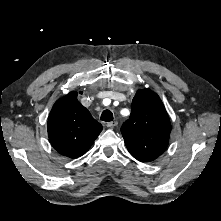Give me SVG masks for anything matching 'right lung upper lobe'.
Segmentation results:
<instances>
[{"mask_svg":"<svg viewBox=\"0 0 221 221\" xmlns=\"http://www.w3.org/2000/svg\"><path fill=\"white\" fill-rule=\"evenodd\" d=\"M77 95L72 91L56 101L47 123L52 146L70 158L85 154L103 128L77 100Z\"/></svg>","mask_w":221,"mask_h":221,"instance_id":"obj_1","label":"right lung upper lobe"}]
</instances>
